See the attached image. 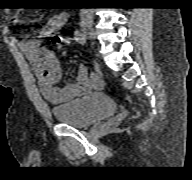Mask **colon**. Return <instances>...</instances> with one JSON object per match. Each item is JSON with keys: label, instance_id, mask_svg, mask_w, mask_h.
<instances>
[{"label": "colon", "instance_id": "obj_1", "mask_svg": "<svg viewBox=\"0 0 192 180\" xmlns=\"http://www.w3.org/2000/svg\"><path fill=\"white\" fill-rule=\"evenodd\" d=\"M53 41H54L56 44H61V43L67 42L66 38L61 37V36H54V37H53Z\"/></svg>", "mask_w": 192, "mask_h": 180}]
</instances>
